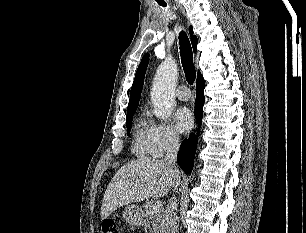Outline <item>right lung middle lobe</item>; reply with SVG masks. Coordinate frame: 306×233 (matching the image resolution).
Here are the masks:
<instances>
[{"label":"right lung middle lobe","instance_id":"obj_1","mask_svg":"<svg viewBox=\"0 0 306 233\" xmlns=\"http://www.w3.org/2000/svg\"><path fill=\"white\" fill-rule=\"evenodd\" d=\"M134 113L127 115V119H126V125H127V135L130 133V126L132 123V118H133Z\"/></svg>","mask_w":306,"mask_h":233}]
</instances>
